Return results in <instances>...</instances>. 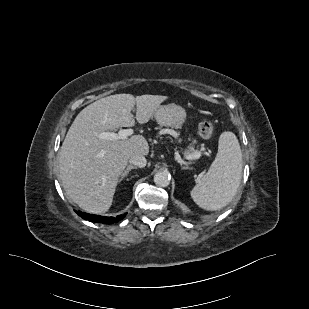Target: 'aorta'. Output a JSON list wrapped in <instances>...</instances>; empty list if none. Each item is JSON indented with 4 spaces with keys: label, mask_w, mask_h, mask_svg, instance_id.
Listing matches in <instances>:
<instances>
[{
    "label": "aorta",
    "mask_w": 309,
    "mask_h": 309,
    "mask_svg": "<svg viewBox=\"0 0 309 309\" xmlns=\"http://www.w3.org/2000/svg\"><path fill=\"white\" fill-rule=\"evenodd\" d=\"M154 182L159 187H167L170 184V175L165 171H159L154 175Z\"/></svg>",
    "instance_id": "obj_1"
}]
</instances>
